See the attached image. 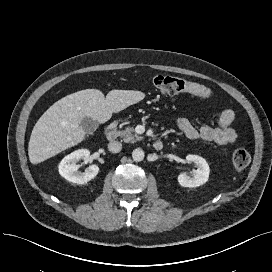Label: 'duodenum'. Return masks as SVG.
<instances>
[{
	"mask_svg": "<svg viewBox=\"0 0 272 272\" xmlns=\"http://www.w3.org/2000/svg\"><path fill=\"white\" fill-rule=\"evenodd\" d=\"M117 129H118V124L116 122H112L109 124L106 130V138L108 141H114L117 138ZM153 148L155 150H162L163 142L161 140L154 141Z\"/></svg>",
	"mask_w": 272,
	"mask_h": 272,
	"instance_id": "obj_1",
	"label": "duodenum"
}]
</instances>
